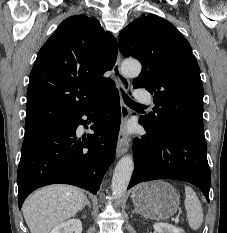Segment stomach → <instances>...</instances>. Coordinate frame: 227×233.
<instances>
[{"label": "stomach", "instance_id": "1", "mask_svg": "<svg viewBox=\"0 0 227 233\" xmlns=\"http://www.w3.org/2000/svg\"><path fill=\"white\" fill-rule=\"evenodd\" d=\"M132 200L136 209L150 219H168L179 208L176 190L163 181L146 182L136 186L132 191Z\"/></svg>", "mask_w": 227, "mask_h": 233}]
</instances>
